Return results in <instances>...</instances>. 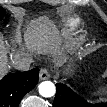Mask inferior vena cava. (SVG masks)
I'll return each mask as SVG.
<instances>
[{
  "label": "inferior vena cava",
  "mask_w": 107,
  "mask_h": 107,
  "mask_svg": "<svg viewBox=\"0 0 107 107\" xmlns=\"http://www.w3.org/2000/svg\"><path fill=\"white\" fill-rule=\"evenodd\" d=\"M33 62L32 58L30 57H15L12 60V64L14 67L21 71H27L31 68V63Z\"/></svg>",
  "instance_id": "602c4592"
}]
</instances>
